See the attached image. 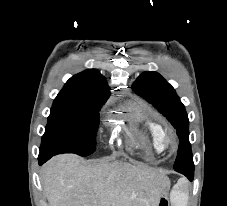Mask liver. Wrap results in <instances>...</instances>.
Returning a JSON list of instances; mask_svg holds the SVG:
<instances>
[{
  "instance_id": "obj_1",
  "label": "liver",
  "mask_w": 227,
  "mask_h": 206,
  "mask_svg": "<svg viewBox=\"0 0 227 206\" xmlns=\"http://www.w3.org/2000/svg\"><path fill=\"white\" fill-rule=\"evenodd\" d=\"M49 206H158L170 180L156 169L126 162L84 166L76 155H58L42 168Z\"/></svg>"
}]
</instances>
